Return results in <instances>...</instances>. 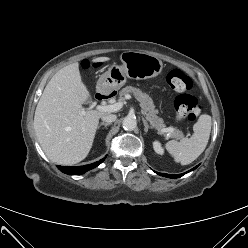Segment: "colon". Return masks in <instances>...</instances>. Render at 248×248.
I'll return each mask as SVG.
<instances>
[{"label":"colon","mask_w":248,"mask_h":248,"mask_svg":"<svg viewBox=\"0 0 248 248\" xmlns=\"http://www.w3.org/2000/svg\"><path fill=\"white\" fill-rule=\"evenodd\" d=\"M89 62H86V66ZM167 82L178 93L175 100L176 117L179 120L187 119L195 121L201 111L200 104L190 91L192 90L191 79L180 69H172L167 74Z\"/></svg>","instance_id":"5ec220e1"}]
</instances>
